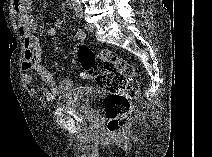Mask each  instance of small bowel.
I'll return each instance as SVG.
<instances>
[{
  "label": "small bowel",
  "mask_w": 212,
  "mask_h": 157,
  "mask_svg": "<svg viewBox=\"0 0 212 157\" xmlns=\"http://www.w3.org/2000/svg\"><path fill=\"white\" fill-rule=\"evenodd\" d=\"M12 14L17 20L19 33L23 38V59L21 69L23 70L22 81L26 85H32V77L29 71L35 72L43 81V94L47 101L52 102L70 91L72 82L70 79H62L56 83L51 72L41 63L42 51L39 38L36 36L38 22L32 13L31 0H14ZM63 26L61 19H55L51 27L46 31L48 37L56 35Z\"/></svg>",
  "instance_id": "1"
}]
</instances>
